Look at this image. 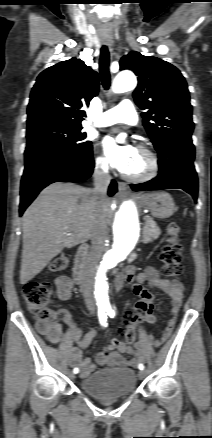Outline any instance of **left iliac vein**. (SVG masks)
<instances>
[{
  "label": "left iliac vein",
  "instance_id": "obj_1",
  "mask_svg": "<svg viewBox=\"0 0 212 438\" xmlns=\"http://www.w3.org/2000/svg\"><path fill=\"white\" fill-rule=\"evenodd\" d=\"M146 371L145 370H141L140 372H139V377L141 378V379H143V378H145L146 377Z\"/></svg>",
  "mask_w": 212,
  "mask_h": 438
}]
</instances>
